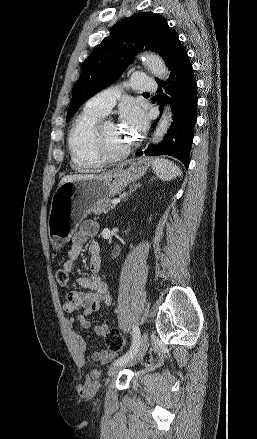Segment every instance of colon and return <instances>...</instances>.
I'll return each mask as SVG.
<instances>
[{"instance_id":"5ec220e1","label":"colon","mask_w":257,"mask_h":439,"mask_svg":"<svg viewBox=\"0 0 257 439\" xmlns=\"http://www.w3.org/2000/svg\"><path fill=\"white\" fill-rule=\"evenodd\" d=\"M59 285L66 286L69 282V273L60 268L55 273ZM106 347L110 352H118L125 346V339L117 329H110L104 335Z\"/></svg>"}]
</instances>
